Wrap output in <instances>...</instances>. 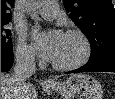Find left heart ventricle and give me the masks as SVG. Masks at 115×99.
I'll use <instances>...</instances> for the list:
<instances>
[{
    "label": "left heart ventricle",
    "instance_id": "b2bd125f",
    "mask_svg": "<svg viewBox=\"0 0 115 99\" xmlns=\"http://www.w3.org/2000/svg\"><path fill=\"white\" fill-rule=\"evenodd\" d=\"M82 51L83 47L78 38L64 35L53 62L60 64L73 62L81 56Z\"/></svg>",
    "mask_w": 115,
    "mask_h": 99
}]
</instances>
